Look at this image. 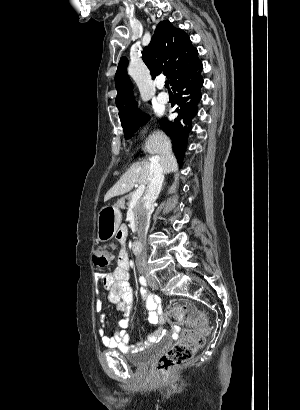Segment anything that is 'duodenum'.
Wrapping results in <instances>:
<instances>
[{"label": "duodenum", "mask_w": 300, "mask_h": 410, "mask_svg": "<svg viewBox=\"0 0 300 410\" xmlns=\"http://www.w3.org/2000/svg\"><path fill=\"white\" fill-rule=\"evenodd\" d=\"M141 248H142V244L138 240L132 243V251L134 254H139Z\"/></svg>", "instance_id": "1"}]
</instances>
